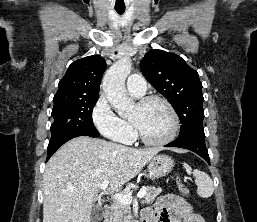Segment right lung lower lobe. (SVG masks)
I'll return each mask as SVG.
<instances>
[{"instance_id": "obj_1", "label": "right lung lower lobe", "mask_w": 257, "mask_h": 222, "mask_svg": "<svg viewBox=\"0 0 257 222\" xmlns=\"http://www.w3.org/2000/svg\"><path fill=\"white\" fill-rule=\"evenodd\" d=\"M84 134H74V135H69V136H65L62 137L54 142H49L48 148H47V159L46 161L49 160V158L57 151V149L63 145L65 142H67L68 140L78 137V136H82ZM85 136H89V135H85ZM90 137H98V136H90Z\"/></svg>"}]
</instances>
